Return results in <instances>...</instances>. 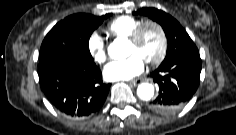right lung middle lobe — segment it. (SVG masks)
<instances>
[{
	"label": "right lung middle lobe",
	"mask_w": 236,
	"mask_h": 135,
	"mask_svg": "<svg viewBox=\"0 0 236 135\" xmlns=\"http://www.w3.org/2000/svg\"><path fill=\"white\" fill-rule=\"evenodd\" d=\"M109 16L111 14L97 17L79 13L58 22L42 42L39 63L59 60L70 54L80 55L94 63L89 51V39L93 31Z\"/></svg>",
	"instance_id": "obj_1"
}]
</instances>
